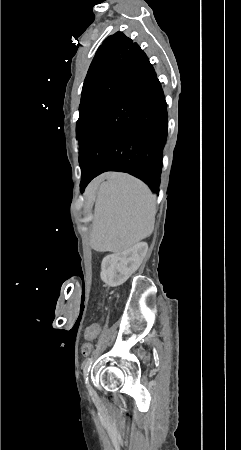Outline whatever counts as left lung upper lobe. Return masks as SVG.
Wrapping results in <instances>:
<instances>
[{
    "instance_id": "left-lung-upper-lobe-1",
    "label": "left lung upper lobe",
    "mask_w": 241,
    "mask_h": 450,
    "mask_svg": "<svg viewBox=\"0 0 241 450\" xmlns=\"http://www.w3.org/2000/svg\"><path fill=\"white\" fill-rule=\"evenodd\" d=\"M134 44L123 33L117 32L97 50L82 88L76 124L79 154L97 119L118 99Z\"/></svg>"
}]
</instances>
